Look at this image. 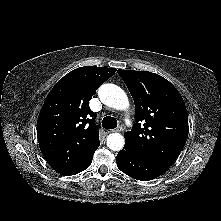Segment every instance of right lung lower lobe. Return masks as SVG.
<instances>
[{
	"instance_id": "1",
	"label": "right lung lower lobe",
	"mask_w": 221,
	"mask_h": 221,
	"mask_svg": "<svg viewBox=\"0 0 221 221\" xmlns=\"http://www.w3.org/2000/svg\"><path fill=\"white\" fill-rule=\"evenodd\" d=\"M97 148L83 162H81L76 167L64 172L62 175H65V176L75 175V174L80 173L83 170L87 169L90 166L91 162H92L93 154L97 150Z\"/></svg>"
}]
</instances>
